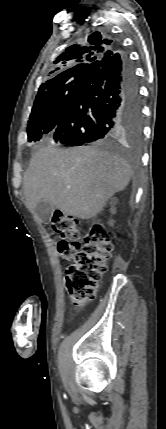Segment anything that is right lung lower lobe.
I'll return each instance as SVG.
<instances>
[{
  "label": "right lung lower lobe",
  "mask_w": 166,
  "mask_h": 429,
  "mask_svg": "<svg viewBox=\"0 0 166 429\" xmlns=\"http://www.w3.org/2000/svg\"><path fill=\"white\" fill-rule=\"evenodd\" d=\"M141 125L139 81L128 57L116 50L90 64L53 137L71 146L102 144L122 129Z\"/></svg>",
  "instance_id": "right-lung-lower-lobe-1"
}]
</instances>
